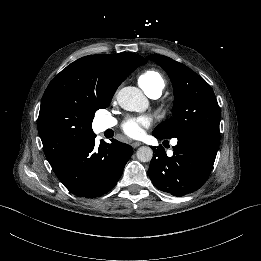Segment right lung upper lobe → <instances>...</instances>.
I'll return each mask as SVG.
<instances>
[{
    "label": "right lung upper lobe",
    "instance_id": "cb5924a9",
    "mask_svg": "<svg viewBox=\"0 0 261 261\" xmlns=\"http://www.w3.org/2000/svg\"><path fill=\"white\" fill-rule=\"evenodd\" d=\"M147 61L135 53L89 55L57 74L48 85L38 117V131L50 165L96 135L92 120L108 107L118 86Z\"/></svg>",
    "mask_w": 261,
    "mask_h": 261
}]
</instances>
